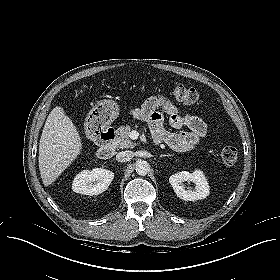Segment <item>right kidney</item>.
I'll list each match as a JSON object with an SVG mask.
<instances>
[{
  "label": "right kidney",
  "mask_w": 280,
  "mask_h": 280,
  "mask_svg": "<svg viewBox=\"0 0 280 280\" xmlns=\"http://www.w3.org/2000/svg\"><path fill=\"white\" fill-rule=\"evenodd\" d=\"M114 178V173L103 169L83 170L72 183V190L83 195H98L107 190Z\"/></svg>",
  "instance_id": "1"
}]
</instances>
